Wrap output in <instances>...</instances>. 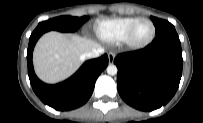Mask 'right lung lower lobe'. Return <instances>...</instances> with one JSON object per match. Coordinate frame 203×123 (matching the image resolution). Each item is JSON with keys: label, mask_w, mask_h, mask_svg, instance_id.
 Segmentation results:
<instances>
[{"label": "right lung lower lobe", "mask_w": 203, "mask_h": 123, "mask_svg": "<svg viewBox=\"0 0 203 123\" xmlns=\"http://www.w3.org/2000/svg\"><path fill=\"white\" fill-rule=\"evenodd\" d=\"M43 33L45 32L34 30L29 38L27 64L31 86L43 103L56 110L78 108L91 97L96 79L108 65V56L105 54L85 62L73 76L61 83L45 84L35 75L32 63L34 46Z\"/></svg>", "instance_id": "1"}]
</instances>
